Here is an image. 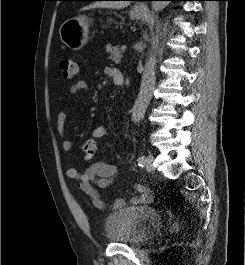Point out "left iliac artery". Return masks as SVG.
Masks as SVG:
<instances>
[{"instance_id": "1", "label": "left iliac artery", "mask_w": 245, "mask_h": 265, "mask_svg": "<svg viewBox=\"0 0 245 265\" xmlns=\"http://www.w3.org/2000/svg\"><path fill=\"white\" fill-rule=\"evenodd\" d=\"M145 161H146L145 156H140V157L137 159V162H138V165H139V166H144Z\"/></svg>"}]
</instances>
